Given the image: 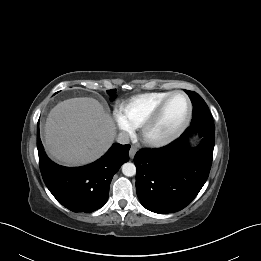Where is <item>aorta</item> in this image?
<instances>
[{
	"label": "aorta",
	"instance_id": "1",
	"mask_svg": "<svg viewBox=\"0 0 261 261\" xmlns=\"http://www.w3.org/2000/svg\"><path fill=\"white\" fill-rule=\"evenodd\" d=\"M122 173L127 177H132L136 174V167L133 163L127 162L122 165Z\"/></svg>",
	"mask_w": 261,
	"mask_h": 261
}]
</instances>
